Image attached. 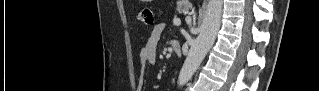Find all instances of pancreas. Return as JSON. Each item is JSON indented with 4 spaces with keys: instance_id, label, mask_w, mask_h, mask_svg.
Listing matches in <instances>:
<instances>
[{
    "instance_id": "cf45deb5",
    "label": "pancreas",
    "mask_w": 319,
    "mask_h": 91,
    "mask_svg": "<svg viewBox=\"0 0 319 91\" xmlns=\"http://www.w3.org/2000/svg\"><path fill=\"white\" fill-rule=\"evenodd\" d=\"M189 10V6L188 5H178L177 6V11L179 13H184L187 12Z\"/></svg>"
}]
</instances>
